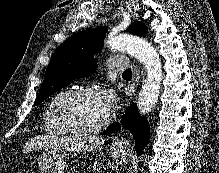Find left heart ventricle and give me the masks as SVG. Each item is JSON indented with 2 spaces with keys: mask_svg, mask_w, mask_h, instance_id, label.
I'll return each mask as SVG.
<instances>
[{
  "mask_svg": "<svg viewBox=\"0 0 219 173\" xmlns=\"http://www.w3.org/2000/svg\"><path fill=\"white\" fill-rule=\"evenodd\" d=\"M108 114L99 93L82 95L75 99L70 107L71 118L81 127L96 126Z\"/></svg>",
  "mask_w": 219,
  "mask_h": 173,
  "instance_id": "obj_1",
  "label": "left heart ventricle"
}]
</instances>
